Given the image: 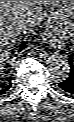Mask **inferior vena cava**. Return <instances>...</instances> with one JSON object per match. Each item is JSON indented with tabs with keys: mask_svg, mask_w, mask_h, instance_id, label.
<instances>
[{
	"mask_svg": "<svg viewBox=\"0 0 74 122\" xmlns=\"http://www.w3.org/2000/svg\"><path fill=\"white\" fill-rule=\"evenodd\" d=\"M25 28L26 26L24 24L19 26L20 31L24 30Z\"/></svg>",
	"mask_w": 74,
	"mask_h": 122,
	"instance_id": "1",
	"label": "inferior vena cava"
}]
</instances>
